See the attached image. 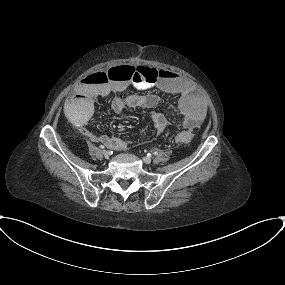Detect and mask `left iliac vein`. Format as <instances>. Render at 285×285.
<instances>
[{"instance_id":"left-iliac-vein-1","label":"left iliac vein","mask_w":285,"mask_h":285,"mask_svg":"<svg viewBox=\"0 0 285 285\" xmlns=\"http://www.w3.org/2000/svg\"><path fill=\"white\" fill-rule=\"evenodd\" d=\"M151 158L150 157H143V162L146 164H150L151 163Z\"/></svg>"}]
</instances>
